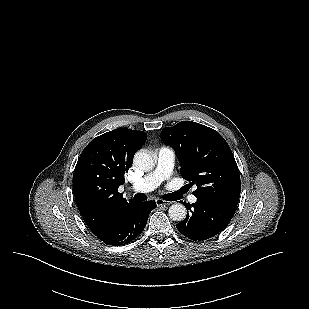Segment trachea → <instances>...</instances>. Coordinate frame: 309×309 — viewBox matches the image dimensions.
Listing matches in <instances>:
<instances>
[{"label": "trachea", "instance_id": "1", "mask_svg": "<svg viewBox=\"0 0 309 309\" xmlns=\"http://www.w3.org/2000/svg\"><path fill=\"white\" fill-rule=\"evenodd\" d=\"M185 189H186V187H184L183 189H181L177 192L167 194V195H165L164 199L167 200V201H175V200L179 199L183 193H185ZM134 200L135 201H144V200H146V196L143 195V194H136L134 196Z\"/></svg>", "mask_w": 309, "mask_h": 309}]
</instances>
